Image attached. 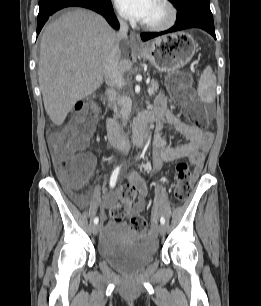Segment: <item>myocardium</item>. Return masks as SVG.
Returning <instances> with one entry per match:
<instances>
[{"label": "myocardium", "instance_id": "obj_1", "mask_svg": "<svg viewBox=\"0 0 261 306\" xmlns=\"http://www.w3.org/2000/svg\"><path fill=\"white\" fill-rule=\"evenodd\" d=\"M164 9L165 17L158 22H141V26L148 31H163L171 28L177 21L178 12L170 0H156Z\"/></svg>", "mask_w": 261, "mask_h": 306}]
</instances>
